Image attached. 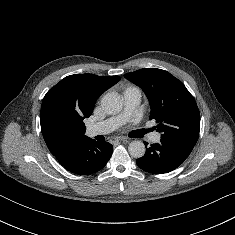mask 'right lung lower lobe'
<instances>
[{
    "instance_id": "1",
    "label": "right lung lower lobe",
    "mask_w": 235,
    "mask_h": 235,
    "mask_svg": "<svg viewBox=\"0 0 235 235\" xmlns=\"http://www.w3.org/2000/svg\"><path fill=\"white\" fill-rule=\"evenodd\" d=\"M112 151L113 146L110 143L96 142L89 138L80 143L70 156L60 163L72 173L92 174L107 164Z\"/></svg>"
}]
</instances>
